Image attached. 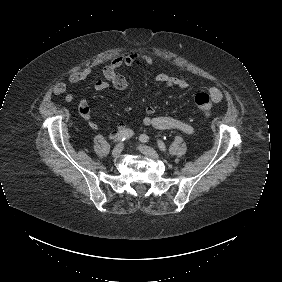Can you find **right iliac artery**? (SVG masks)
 <instances>
[{"label":"right iliac artery","instance_id":"obj_1","mask_svg":"<svg viewBox=\"0 0 282 282\" xmlns=\"http://www.w3.org/2000/svg\"><path fill=\"white\" fill-rule=\"evenodd\" d=\"M134 135L133 130L131 129H125L124 131L120 132L116 138L115 141L116 142H122L125 141L127 139H129L130 137H132Z\"/></svg>","mask_w":282,"mask_h":282}]
</instances>
